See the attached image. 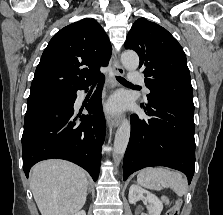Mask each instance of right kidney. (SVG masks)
I'll return each instance as SVG.
<instances>
[{"mask_svg": "<svg viewBox=\"0 0 223 215\" xmlns=\"http://www.w3.org/2000/svg\"><path fill=\"white\" fill-rule=\"evenodd\" d=\"M73 215H86V211H84V209H81V211H77V213H73Z\"/></svg>", "mask_w": 223, "mask_h": 215, "instance_id": "obj_1", "label": "right kidney"}]
</instances>
